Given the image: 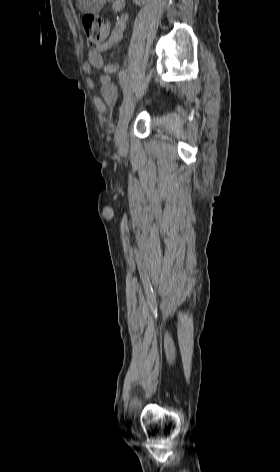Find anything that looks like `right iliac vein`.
<instances>
[{
	"label": "right iliac vein",
	"instance_id": "obj_1",
	"mask_svg": "<svg viewBox=\"0 0 280 472\" xmlns=\"http://www.w3.org/2000/svg\"><path fill=\"white\" fill-rule=\"evenodd\" d=\"M135 102L130 101L128 105L122 110L119 118V122L116 129V143L122 153H126L128 150V136L127 128L129 121L133 115Z\"/></svg>",
	"mask_w": 280,
	"mask_h": 472
}]
</instances>
